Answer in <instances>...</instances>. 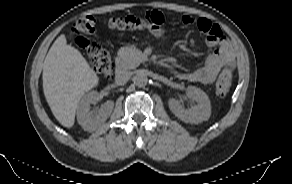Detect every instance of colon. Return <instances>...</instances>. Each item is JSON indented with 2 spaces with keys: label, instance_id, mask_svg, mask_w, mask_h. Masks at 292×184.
<instances>
[{
  "label": "colon",
  "instance_id": "obj_1",
  "mask_svg": "<svg viewBox=\"0 0 292 184\" xmlns=\"http://www.w3.org/2000/svg\"><path fill=\"white\" fill-rule=\"evenodd\" d=\"M164 22V16L157 11L149 12L144 18L125 16L113 18L108 21L111 30L122 33L137 29H149L152 33L158 31ZM97 26V19L87 15L77 19L73 24L75 41L79 47L86 51L94 70L109 78L112 75L113 65L109 50L98 43L91 42L89 36L92 35ZM232 71L224 69L216 82V93L220 97L228 94L231 86Z\"/></svg>",
  "mask_w": 292,
  "mask_h": 184
}]
</instances>
